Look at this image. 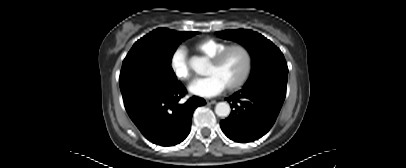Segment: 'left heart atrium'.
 <instances>
[{
  "mask_svg": "<svg viewBox=\"0 0 406 168\" xmlns=\"http://www.w3.org/2000/svg\"><path fill=\"white\" fill-rule=\"evenodd\" d=\"M188 88L193 95L209 98L220 94L226 87L215 75H208L193 80Z\"/></svg>",
  "mask_w": 406,
  "mask_h": 168,
  "instance_id": "left-heart-atrium-1",
  "label": "left heart atrium"
}]
</instances>
